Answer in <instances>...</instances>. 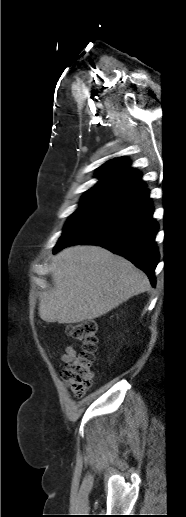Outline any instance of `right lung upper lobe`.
<instances>
[{
    "instance_id": "right-lung-upper-lobe-1",
    "label": "right lung upper lobe",
    "mask_w": 186,
    "mask_h": 517,
    "mask_svg": "<svg viewBox=\"0 0 186 517\" xmlns=\"http://www.w3.org/2000/svg\"><path fill=\"white\" fill-rule=\"evenodd\" d=\"M97 177L98 183L83 196L86 199L109 200L115 203L145 188L141 174L123 157L103 164Z\"/></svg>"
}]
</instances>
